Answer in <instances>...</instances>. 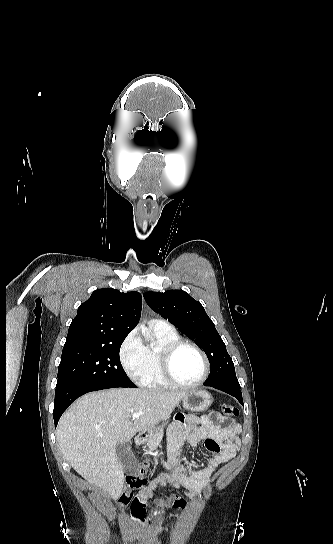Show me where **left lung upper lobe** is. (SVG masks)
I'll return each mask as SVG.
<instances>
[{
	"label": "left lung upper lobe",
	"mask_w": 333,
	"mask_h": 544,
	"mask_svg": "<svg viewBox=\"0 0 333 544\" xmlns=\"http://www.w3.org/2000/svg\"><path fill=\"white\" fill-rule=\"evenodd\" d=\"M148 306L192 338L206 353L211 369L204 385L240 386L226 346L200 302L183 290L146 292Z\"/></svg>",
	"instance_id": "1"
}]
</instances>
